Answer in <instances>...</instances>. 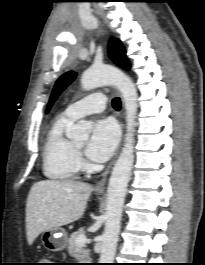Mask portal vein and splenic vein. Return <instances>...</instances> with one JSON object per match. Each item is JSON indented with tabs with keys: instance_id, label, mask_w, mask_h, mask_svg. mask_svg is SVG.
<instances>
[{
	"instance_id": "portal-vein-and-splenic-vein-1",
	"label": "portal vein and splenic vein",
	"mask_w": 205,
	"mask_h": 265,
	"mask_svg": "<svg viewBox=\"0 0 205 265\" xmlns=\"http://www.w3.org/2000/svg\"><path fill=\"white\" fill-rule=\"evenodd\" d=\"M86 241H87V238H86V236L84 235V234H82V235H79L77 238H76V244H77V246H84L85 245V243H86Z\"/></svg>"
}]
</instances>
